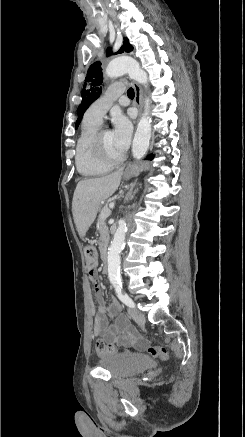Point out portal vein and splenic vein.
<instances>
[{
	"mask_svg": "<svg viewBox=\"0 0 245 437\" xmlns=\"http://www.w3.org/2000/svg\"><path fill=\"white\" fill-rule=\"evenodd\" d=\"M109 207H111V206H109ZM109 215H110V209H109L108 207H106V208L103 210V217H104V218H107Z\"/></svg>",
	"mask_w": 245,
	"mask_h": 437,
	"instance_id": "1",
	"label": "portal vein and splenic vein"
}]
</instances>
